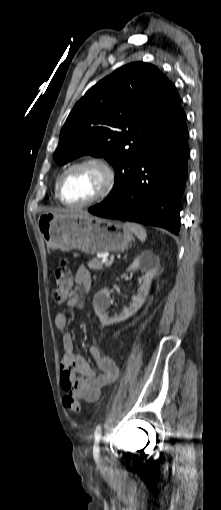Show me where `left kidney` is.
I'll list each match as a JSON object with an SVG mask.
<instances>
[{"label": "left kidney", "instance_id": "left-kidney-1", "mask_svg": "<svg viewBox=\"0 0 221 510\" xmlns=\"http://www.w3.org/2000/svg\"><path fill=\"white\" fill-rule=\"evenodd\" d=\"M159 267V258L151 251H144L138 255L133 263L128 267L127 271H134L140 269L144 273V280L139 288L137 295L133 296L132 303L128 308H124L123 311L112 318L108 317V308L112 301L110 298V292L107 288L99 291L93 298V308L96 315L99 317L102 326H108L114 323L125 321L132 315H134L143 305L152 282Z\"/></svg>", "mask_w": 221, "mask_h": 510}]
</instances>
